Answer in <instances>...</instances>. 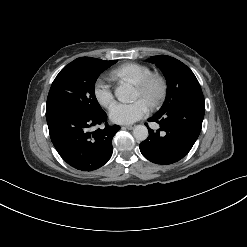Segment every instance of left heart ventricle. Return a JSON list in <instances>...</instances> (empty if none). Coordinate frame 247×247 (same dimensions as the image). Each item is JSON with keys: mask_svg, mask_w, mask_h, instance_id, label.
<instances>
[{"mask_svg": "<svg viewBox=\"0 0 247 247\" xmlns=\"http://www.w3.org/2000/svg\"><path fill=\"white\" fill-rule=\"evenodd\" d=\"M136 97H141V98H143V97L141 96L140 91L138 90L137 87H136ZM143 99H145V98H143ZM145 100H146V99H145Z\"/></svg>", "mask_w": 247, "mask_h": 247, "instance_id": "obj_1", "label": "left heart ventricle"}]
</instances>
